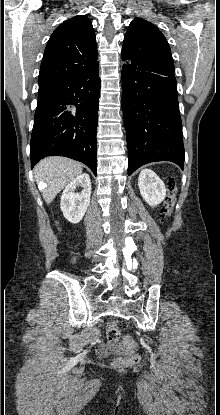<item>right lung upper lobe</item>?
I'll return each mask as SVG.
<instances>
[{
    "label": "right lung upper lobe",
    "instance_id": "cb5924a9",
    "mask_svg": "<svg viewBox=\"0 0 220 415\" xmlns=\"http://www.w3.org/2000/svg\"><path fill=\"white\" fill-rule=\"evenodd\" d=\"M96 37L91 21L75 16L52 33L42 59L39 88H46L63 79L99 65Z\"/></svg>",
    "mask_w": 220,
    "mask_h": 415
}]
</instances>
